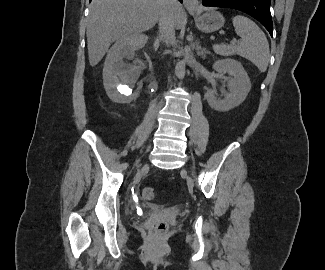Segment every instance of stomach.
I'll list each match as a JSON object with an SVG mask.
<instances>
[{
	"instance_id": "stomach-1",
	"label": "stomach",
	"mask_w": 325,
	"mask_h": 270,
	"mask_svg": "<svg viewBox=\"0 0 325 270\" xmlns=\"http://www.w3.org/2000/svg\"><path fill=\"white\" fill-rule=\"evenodd\" d=\"M191 14L195 19L197 28L205 33L217 31L224 25V17L214 9H200L191 12Z\"/></svg>"
}]
</instances>
